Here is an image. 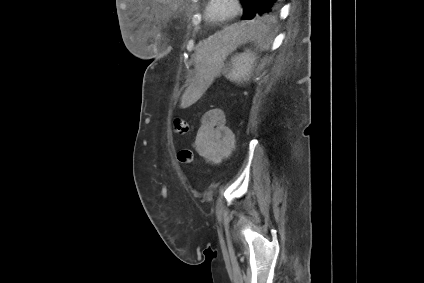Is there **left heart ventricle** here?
<instances>
[{
    "instance_id": "1",
    "label": "left heart ventricle",
    "mask_w": 424,
    "mask_h": 283,
    "mask_svg": "<svg viewBox=\"0 0 424 283\" xmlns=\"http://www.w3.org/2000/svg\"><path fill=\"white\" fill-rule=\"evenodd\" d=\"M232 5L229 0H216L212 6V13L215 16H224L230 13Z\"/></svg>"
}]
</instances>
